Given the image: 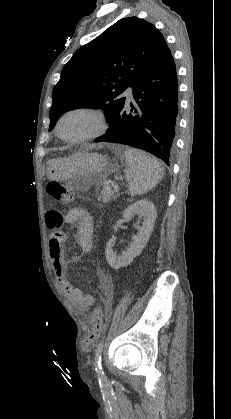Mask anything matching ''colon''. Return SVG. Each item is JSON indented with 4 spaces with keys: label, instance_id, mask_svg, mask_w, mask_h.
Segmentation results:
<instances>
[{
    "label": "colon",
    "instance_id": "1",
    "mask_svg": "<svg viewBox=\"0 0 231 419\" xmlns=\"http://www.w3.org/2000/svg\"><path fill=\"white\" fill-rule=\"evenodd\" d=\"M47 192L53 197V199L60 205H67L71 201L72 193L71 189L60 182H51L47 185ZM87 266L83 265L80 277L86 280L90 279L89 275L85 276ZM96 297L100 296L99 292L95 293ZM104 329L102 321V313L99 308H95L92 313V331L89 337L86 340V343L89 344L96 340Z\"/></svg>",
    "mask_w": 231,
    "mask_h": 419
}]
</instances>
